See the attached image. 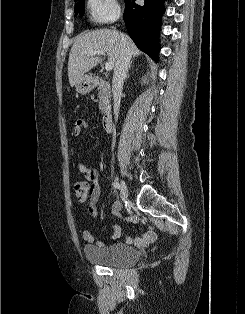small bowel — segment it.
I'll list each match as a JSON object with an SVG mask.
<instances>
[{
	"label": "small bowel",
	"instance_id": "c3829d8e",
	"mask_svg": "<svg viewBox=\"0 0 245 314\" xmlns=\"http://www.w3.org/2000/svg\"><path fill=\"white\" fill-rule=\"evenodd\" d=\"M86 127V122L82 119L78 120L73 128V132L75 135H79L82 129ZM78 171L83 175L84 179L90 183L91 186V196L88 200V211L93 217L98 216V210L96 207V203L100 196V185L98 184V170L95 166H87L84 163L78 164ZM121 208L120 203L116 202L113 205L112 211L115 215H119V210ZM135 218V216H134ZM121 235V228L118 225L112 226V235L111 239H117ZM82 237L85 241L93 243L95 242V236L90 230H84L82 233ZM156 240V233L153 230H149L140 234L137 237H126V243L136 246H147L153 243ZM98 245H104V241H98Z\"/></svg>",
	"mask_w": 245,
	"mask_h": 314
}]
</instances>
